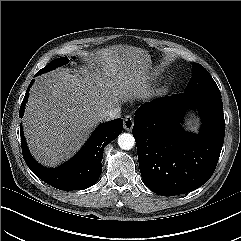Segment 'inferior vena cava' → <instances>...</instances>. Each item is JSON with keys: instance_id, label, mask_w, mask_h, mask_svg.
<instances>
[{"instance_id": "inferior-vena-cava-1", "label": "inferior vena cava", "mask_w": 241, "mask_h": 241, "mask_svg": "<svg viewBox=\"0 0 241 241\" xmlns=\"http://www.w3.org/2000/svg\"><path fill=\"white\" fill-rule=\"evenodd\" d=\"M121 114L120 107H115L110 110H105L100 114V119L103 121H109L116 118H119Z\"/></svg>"}]
</instances>
